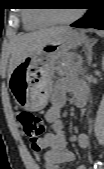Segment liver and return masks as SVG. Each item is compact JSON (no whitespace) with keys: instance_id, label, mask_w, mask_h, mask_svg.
<instances>
[{"instance_id":"liver-1","label":"liver","mask_w":104,"mask_h":169,"mask_svg":"<svg viewBox=\"0 0 104 169\" xmlns=\"http://www.w3.org/2000/svg\"><path fill=\"white\" fill-rule=\"evenodd\" d=\"M71 30L68 26H56L40 29L18 36L12 46L8 67V80L15 69L26 57L33 55L58 35Z\"/></svg>"}]
</instances>
